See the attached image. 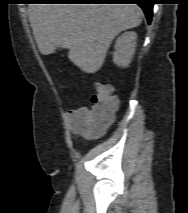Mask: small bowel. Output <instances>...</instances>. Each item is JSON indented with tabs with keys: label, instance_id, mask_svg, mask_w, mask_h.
Here are the masks:
<instances>
[{
	"label": "small bowel",
	"instance_id": "1",
	"mask_svg": "<svg viewBox=\"0 0 188 213\" xmlns=\"http://www.w3.org/2000/svg\"><path fill=\"white\" fill-rule=\"evenodd\" d=\"M68 118L74 132L81 135L101 136L111 124L112 120L99 127H95L90 118V108L81 107L68 112Z\"/></svg>",
	"mask_w": 188,
	"mask_h": 213
}]
</instances>
